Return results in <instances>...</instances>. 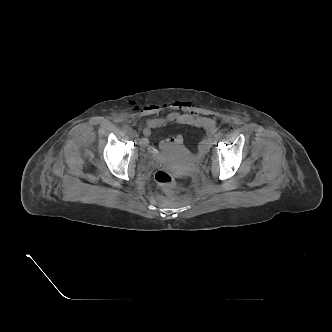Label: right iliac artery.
<instances>
[{"label":"right iliac artery","mask_w":332,"mask_h":332,"mask_svg":"<svg viewBox=\"0 0 332 332\" xmlns=\"http://www.w3.org/2000/svg\"><path fill=\"white\" fill-rule=\"evenodd\" d=\"M123 129H124V131H127V132L131 130V128L129 126H124Z\"/></svg>","instance_id":"82829eb1"}]
</instances>
